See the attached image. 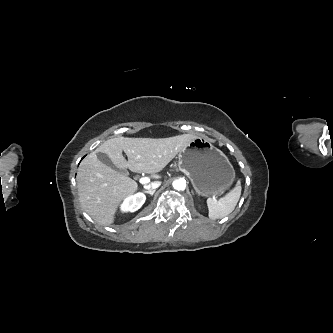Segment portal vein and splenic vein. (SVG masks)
Here are the masks:
<instances>
[{"label": "portal vein and splenic vein", "instance_id": "obj_1", "mask_svg": "<svg viewBox=\"0 0 333 333\" xmlns=\"http://www.w3.org/2000/svg\"><path fill=\"white\" fill-rule=\"evenodd\" d=\"M139 182H140L141 184H147V183L150 182V179H149L148 177H141V178L139 179Z\"/></svg>", "mask_w": 333, "mask_h": 333}]
</instances>
